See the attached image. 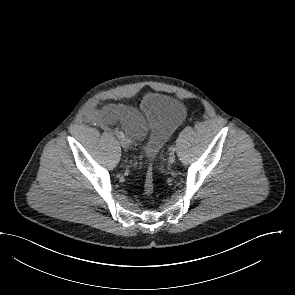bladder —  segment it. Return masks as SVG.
<instances>
[{"label":"bladder","mask_w":295,"mask_h":295,"mask_svg":"<svg viewBox=\"0 0 295 295\" xmlns=\"http://www.w3.org/2000/svg\"><path fill=\"white\" fill-rule=\"evenodd\" d=\"M139 113L151 123L149 136L142 146V154L146 159H153L176 126L183 121L185 107L171 95L151 93L143 98Z\"/></svg>","instance_id":"1"}]
</instances>
